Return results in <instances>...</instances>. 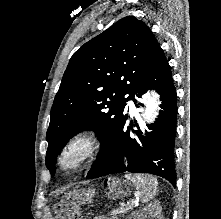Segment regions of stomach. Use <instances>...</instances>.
<instances>
[{
	"instance_id": "0dacf381",
	"label": "stomach",
	"mask_w": 221,
	"mask_h": 219,
	"mask_svg": "<svg viewBox=\"0 0 221 219\" xmlns=\"http://www.w3.org/2000/svg\"><path fill=\"white\" fill-rule=\"evenodd\" d=\"M96 183H112L109 186H100V191H107V194H94V199H121L126 195L122 190L120 178H96ZM65 199H81V195H92V190H62Z\"/></svg>"
}]
</instances>
